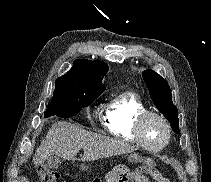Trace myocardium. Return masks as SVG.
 Wrapping results in <instances>:
<instances>
[{"mask_svg": "<svg viewBox=\"0 0 211 182\" xmlns=\"http://www.w3.org/2000/svg\"><path fill=\"white\" fill-rule=\"evenodd\" d=\"M151 117H155V118H158L159 120H161L166 128V131H167L166 139L164 140V142L162 144H160L158 146L148 145L145 142V139L143 137V125H144L145 121ZM134 135H135V138H136L138 144L140 146H142L143 148L150 150V151H159V150H162L163 148H165L171 141L172 129H171V125H170L168 119L164 115H162L161 113L155 112V111H145V112L141 113L138 116V118L136 119L135 126H134Z\"/></svg>", "mask_w": 211, "mask_h": 182, "instance_id": "obj_1", "label": "myocardium"}]
</instances>
